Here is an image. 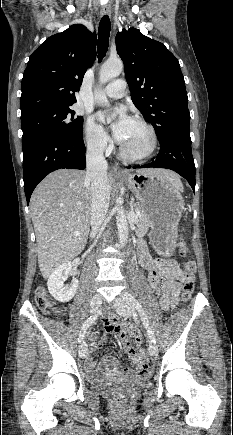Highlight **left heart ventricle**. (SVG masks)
Here are the masks:
<instances>
[{
  "label": "left heart ventricle",
  "mask_w": 233,
  "mask_h": 435,
  "mask_svg": "<svg viewBox=\"0 0 233 435\" xmlns=\"http://www.w3.org/2000/svg\"><path fill=\"white\" fill-rule=\"evenodd\" d=\"M149 145L150 135L147 129L143 125L132 121L121 146L129 154L140 155L148 149Z\"/></svg>",
  "instance_id": "b2bd125f"
}]
</instances>
